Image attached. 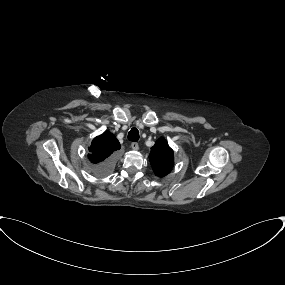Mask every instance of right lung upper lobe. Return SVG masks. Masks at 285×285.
<instances>
[{"label": "right lung upper lobe", "instance_id": "obj_1", "mask_svg": "<svg viewBox=\"0 0 285 285\" xmlns=\"http://www.w3.org/2000/svg\"><path fill=\"white\" fill-rule=\"evenodd\" d=\"M120 149V143L116 137L109 131L93 139L88 155L92 163H102L109 159L110 155Z\"/></svg>", "mask_w": 285, "mask_h": 285}]
</instances>
